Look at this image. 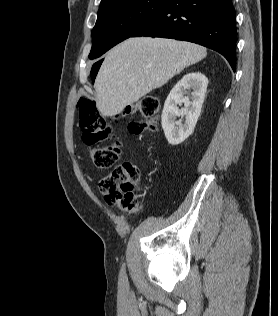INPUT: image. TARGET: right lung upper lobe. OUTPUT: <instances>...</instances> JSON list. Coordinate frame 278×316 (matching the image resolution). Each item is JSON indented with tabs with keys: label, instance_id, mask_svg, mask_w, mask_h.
<instances>
[{
	"label": "right lung upper lobe",
	"instance_id": "1",
	"mask_svg": "<svg viewBox=\"0 0 278 316\" xmlns=\"http://www.w3.org/2000/svg\"><path fill=\"white\" fill-rule=\"evenodd\" d=\"M105 1H107V0H101V3H102V2H105Z\"/></svg>",
	"mask_w": 278,
	"mask_h": 316
}]
</instances>
